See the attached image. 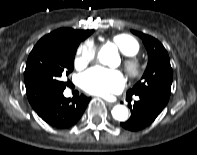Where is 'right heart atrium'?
I'll return each mask as SVG.
<instances>
[{
  "label": "right heart atrium",
  "mask_w": 197,
  "mask_h": 155,
  "mask_svg": "<svg viewBox=\"0 0 197 155\" xmlns=\"http://www.w3.org/2000/svg\"><path fill=\"white\" fill-rule=\"evenodd\" d=\"M95 55V45L92 42L87 41L79 46L75 58V65L77 67H85L94 60Z\"/></svg>",
  "instance_id": "d8ad5b80"
}]
</instances>
